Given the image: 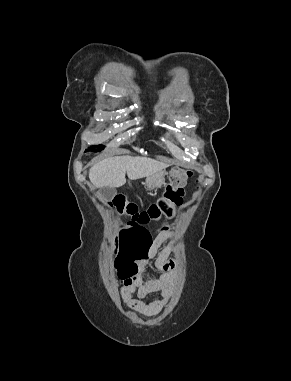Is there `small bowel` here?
I'll list each match as a JSON object with an SVG mask.
<instances>
[{"label":"small bowel","instance_id":"c3829d8e","mask_svg":"<svg viewBox=\"0 0 291 381\" xmlns=\"http://www.w3.org/2000/svg\"><path fill=\"white\" fill-rule=\"evenodd\" d=\"M170 238L165 228H162L154 239H151L149 233H143L139 247L141 255L137 259L138 272L121 279V297L129 308L146 315H154L160 312L169 300L176 281L174 273L176 261L170 258L169 247L161 250L159 248ZM150 260H154V266L159 274L145 279L144 273ZM152 292L158 293L159 297L146 302L145 297Z\"/></svg>","mask_w":291,"mask_h":381}]
</instances>
